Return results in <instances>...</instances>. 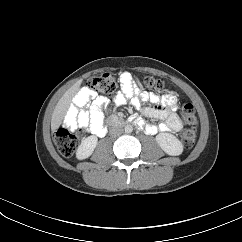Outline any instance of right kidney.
<instances>
[{
  "label": "right kidney",
  "instance_id": "1",
  "mask_svg": "<svg viewBox=\"0 0 242 242\" xmlns=\"http://www.w3.org/2000/svg\"><path fill=\"white\" fill-rule=\"evenodd\" d=\"M97 141L98 139L96 136H89L85 140H83L77 149L76 157L79 160H83L91 156L97 145Z\"/></svg>",
  "mask_w": 242,
  "mask_h": 242
}]
</instances>
